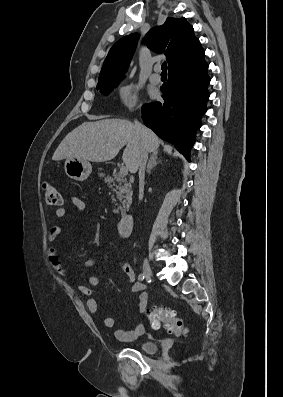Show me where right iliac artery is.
<instances>
[{
    "label": "right iliac artery",
    "instance_id": "right-iliac-artery-1",
    "mask_svg": "<svg viewBox=\"0 0 283 397\" xmlns=\"http://www.w3.org/2000/svg\"><path fill=\"white\" fill-rule=\"evenodd\" d=\"M145 279V276H144V274H140L139 276H138V280L139 281H143Z\"/></svg>",
    "mask_w": 283,
    "mask_h": 397
}]
</instances>
